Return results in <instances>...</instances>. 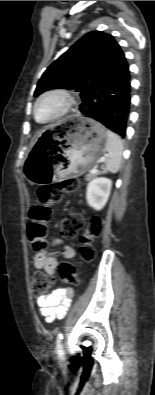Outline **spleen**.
<instances>
[{
  "instance_id": "1",
  "label": "spleen",
  "mask_w": 155,
  "mask_h": 395,
  "mask_svg": "<svg viewBox=\"0 0 155 395\" xmlns=\"http://www.w3.org/2000/svg\"><path fill=\"white\" fill-rule=\"evenodd\" d=\"M105 150L108 153L105 160L106 170L111 173H117L122 161L123 142L117 134L110 130H107Z\"/></svg>"
}]
</instances>
